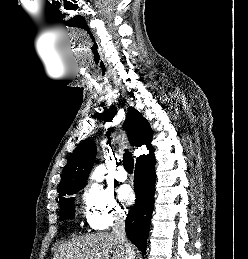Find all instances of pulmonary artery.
<instances>
[{"label": "pulmonary artery", "mask_w": 248, "mask_h": 259, "mask_svg": "<svg viewBox=\"0 0 248 259\" xmlns=\"http://www.w3.org/2000/svg\"><path fill=\"white\" fill-rule=\"evenodd\" d=\"M115 179L119 182H124L127 180V173L123 166H118L115 172Z\"/></svg>", "instance_id": "e3ab8cb5"}]
</instances>
